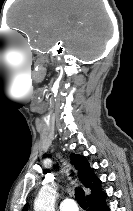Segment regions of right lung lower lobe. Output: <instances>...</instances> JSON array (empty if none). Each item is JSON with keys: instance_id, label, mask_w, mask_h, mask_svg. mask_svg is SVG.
<instances>
[{"instance_id": "98d812e1", "label": "right lung lower lobe", "mask_w": 133, "mask_h": 211, "mask_svg": "<svg viewBox=\"0 0 133 211\" xmlns=\"http://www.w3.org/2000/svg\"><path fill=\"white\" fill-rule=\"evenodd\" d=\"M105 197L100 200L88 202L89 211H110V209L105 204Z\"/></svg>"}]
</instances>
